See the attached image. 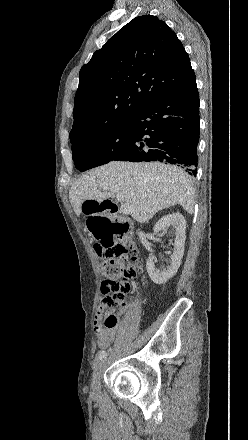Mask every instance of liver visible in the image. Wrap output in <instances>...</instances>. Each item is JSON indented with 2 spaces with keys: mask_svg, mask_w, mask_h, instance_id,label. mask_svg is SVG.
Wrapping results in <instances>:
<instances>
[{
  "mask_svg": "<svg viewBox=\"0 0 248 440\" xmlns=\"http://www.w3.org/2000/svg\"><path fill=\"white\" fill-rule=\"evenodd\" d=\"M107 187L118 189L125 204L133 210V219L139 223L149 221L158 211L176 204L190 214L194 211L192 178L181 168L159 162L113 161L92 169L72 184L69 199L75 214H81L86 200L101 203L110 198Z\"/></svg>",
  "mask_w": 248,
  "mask_h": 440,
  "instance_id": "1",
  "label": "liver"
}]
</instances>
